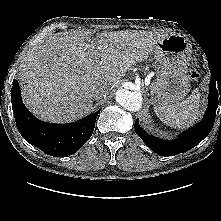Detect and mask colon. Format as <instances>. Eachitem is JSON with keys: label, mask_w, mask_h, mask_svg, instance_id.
I'll use <instances>...</instances> for the list:
<instances>
[{"label": "colon", "mask_w": 221, "mask_h": 221, "mask_svg": "<svg viewBox=\"0 0 221 221\" xmlns=\"http://www.w3.org/2000/svg\"><path fill=\"white\" fill-rule=\"evenodd\" d=\"M193 63H196V62H193ZM191 75L193 78H196L198 76L196 71H192Z\"/></svg>", "instance_id": "obj_1"}]
</instances>
